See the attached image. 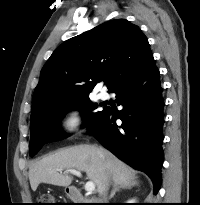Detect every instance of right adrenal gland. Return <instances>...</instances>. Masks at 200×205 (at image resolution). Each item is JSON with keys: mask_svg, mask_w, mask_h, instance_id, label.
Returning a JSON list of instances; mask_svg holds the SVG:
<instances>
[{"mask_svg": "<svg viewBox=\"0 0 200 205\" xmlns=\"http://www.w3.org/2000/svg\"><path fill=\"white\" fill-rule=\"evenodd\" d=\"M121 189H131L130 185H123V184H114V188L110 194L109 199H112L116 192L120 191Z\"/></svg>", "mask_w": 200, "mask_h": 205, "instance_id": "1", "label": "right adrenal gland"}]
</instances>
